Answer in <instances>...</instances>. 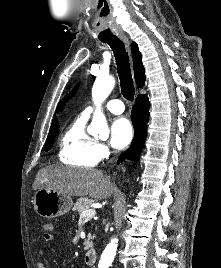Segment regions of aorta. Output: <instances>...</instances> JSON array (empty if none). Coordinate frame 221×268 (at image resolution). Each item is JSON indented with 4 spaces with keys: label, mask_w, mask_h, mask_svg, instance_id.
<instances>
[{
    "label": "aorta",
    "mask_w": 221,
    "mask_h": 268,
    "mask_svg": "<svg viewBox=\"0 0 221 268\" xmlns=\"http://www.w3.org/2000/svg\"><path fill=\"white\" fill-rule=\"evenodd\" d=\"M115 86V79L112 76H99L96 78L92 88V99L96 106V110L93 114L92 122L88 128L89 133L98 134L99 137H107L109 135V129L106 118L101 111V104L109 96ZM118 240L112 239L107 245L103 255L102 262L111 263L117 251Z\"/></svg>",
    "instance_id": "1"
}]
</instances>
